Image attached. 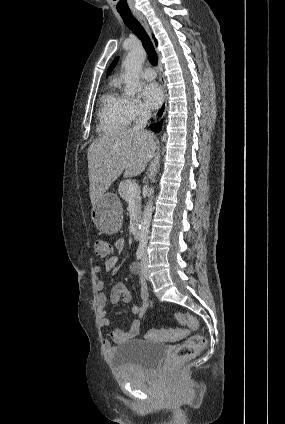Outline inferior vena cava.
Listing matches in <instances>:
<instances>
[{"instance_id":"1","label":"inferior vena cava","mask_w":285,"mask_h":424,"mask_svg":"<svg viewBox=\"0 0 285 424\" xmlns=\"http://www.w3.org/2000/svg\"><path fill=\"white\" fill-rule=\"evenodd\" d=\"M150 117H151V111L149 109L142 110V112L140 113V115H139V117H138V119H137V121H136V123L133 127V130L142 131L146 127L147 122L150 119ZM143 260H145V261L147 260L146 254L143 257Z\"/></svg>"}]
</instances>
